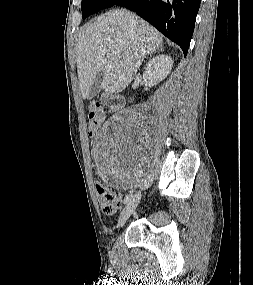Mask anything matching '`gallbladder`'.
<instances>
[{
    "instance_id": "bac80fb5",
    "label": "gallbladder",
    "mask_w": 253,
    "mask_h": 285,
    "mask_svg": "<svg viewBox=\"0 0 253 285\" xmlns=\"http://www.w3.org/2000/svg\"><path fill=\"white\" fill-rule=\"evenodd\" d=\"M104 74L101 72L97 75L94 84L92 85L89 93V98L95 97L101 91V85L103 81Z\"/></svg>"
}]
</instances>
